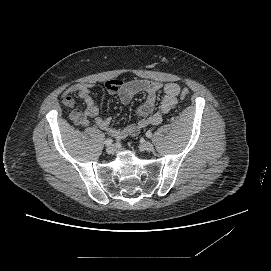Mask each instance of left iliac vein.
<instances>
[{"instance_id":"left-iliac-vein-1","label":"left iliac vein","mask_w":271,"mask_h":271,"mask_svg":"<svg viewBox=\"0 0 271 271\" xmlns=\"http://www.w3.org/2000/svg\"><path fill=\"white\" fill-rule=\"evenodd\" d=\"M141 149L144 150V151H148V152H151L154 150V146L152 143L150 142H142L141 143Z\"/></svg>"}]
</instances>
